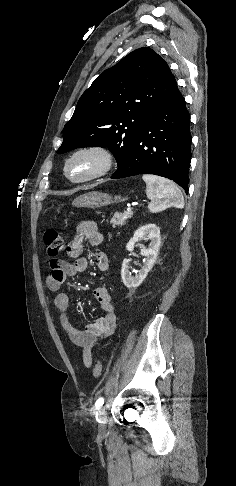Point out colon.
<instances>
[{"mask_svg":"<svg viewBox=\"0 0 236 486\" xmlns=\"http://www.w3.org/2000/svg\"><path fill=\"white\" fill-rule=\"evenodd\" d=\"M44 242L47 248V253L50 257H56L65 247V239L57 230H48L44 234ZM102 364L96 361L93 366V375L99 378L102 374Z\"/></svg>","mask_w":236,"mask_h":486,"instance_id":"5ec220e1","label":"colon"}]
</instances>
